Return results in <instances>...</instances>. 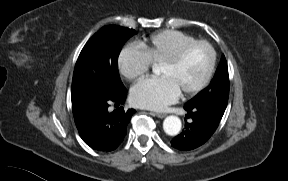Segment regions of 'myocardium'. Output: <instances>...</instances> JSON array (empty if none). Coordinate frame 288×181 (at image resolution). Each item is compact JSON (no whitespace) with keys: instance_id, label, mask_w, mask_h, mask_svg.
<instances>
[{"instance_id":"1","label":"myocardium","mask_w":288,"mask_h":181,"mask_svg":"<svg viewBox=\"0 0 288 181\" xmlns=\"http://www.w3.org/2000/svg\"><path fill=\"white\" fill-rule=\"evenodd\" d=\"M206 46L210 52H211V63L209 66V69L205 75V77L202 79V81L200 83H198L196 86L183 90L182 91V95L184 96H188V95H193L196 94L200 91H202L211 81L213 74L215 72V68L217 65V51L215 49V47L208 41L206 40H196L193 41L189 44L184 45L183 47H181L179 50H177L172 56L162 60L159 64H163V65H169V66H173L178 64L183 58L184 56L194 47L196 46Z\"/></svg>"}]
</instances>
